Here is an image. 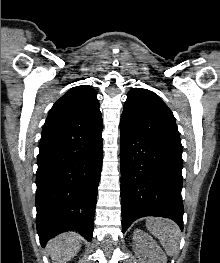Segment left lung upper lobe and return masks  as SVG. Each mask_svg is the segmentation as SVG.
Listing matches in <instances>:
<instances>
[{
    "mask_svg": "<svg viewBox=\"0 0 220 263\" xmlns=\"http://www.w3.org/2000/svg\"><path fill=\"white\" fill-rule=\"evenodd\" d=\"M127 96L120 125L182 152L175 118L167 105L154 92L143 88H133Z\"/></svg>",
    "mask_w": 220,
    "mask_h": 263,
    "instance_id": "5c2ea615",
    "label": "left lung upper lobe"
}]
</instances>
